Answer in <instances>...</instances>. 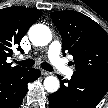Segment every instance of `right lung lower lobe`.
I'll use <instances>...</instances> for the list:
<instances>
[{
  "mask_svg": "<svg viewBox=\"0 0 108 108\" xmlns=\"http://www.w3.org/2000/svg\"><path fill=\"white\" fill-rule=\"evenodd\" d=\"M40 76V70L23 71L0 77V108H18L27 93V84Z\"/></svg>",
  "mask_w": 108,
  "mask_h": 108,
  "instance_id": "1",
  "label": "right lung lower lobe"
}]
</instances>
